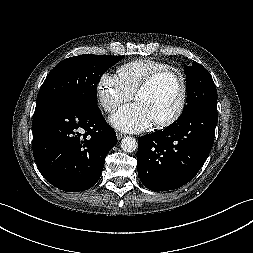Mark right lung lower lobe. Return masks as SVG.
<instances>
[{"instance_id":"1","label":"right lung lower lobe","mask_w":253,"mask_h":253,"mask_svg":"<svg viewBox=\"0 0 253 253\" xmlns=\"http://www.w3.org/2000/svg\"><path fill=\"white\" fill-rule=\"evenodd\" d=\"M33 155L49 183L68 192L91 188L100 178L117 137L99 109L48 101L36 105Z\"/></svg>"}]
</instances>
